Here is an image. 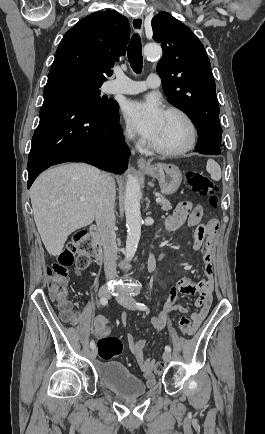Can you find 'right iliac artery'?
<instances>
[{"instance_id": "82829eb1", "label": "right iliac artery", "mask_w": 265, "mask_h": 434, "mask_svg": "<svg viewBox=\"0 0 265 434\" xmlns=\"http://www.w3.org/2000/svg\"><path fill=\"white\" fill-rule=\"evenodd\" d=\"M100 303H101L102 305H106V304L108 303V301H107L106 298H101V299H100ZM90 348H91V349H94V348H95V343H94V341H91V342H90Z\"/></svg>"}]
</instances>
